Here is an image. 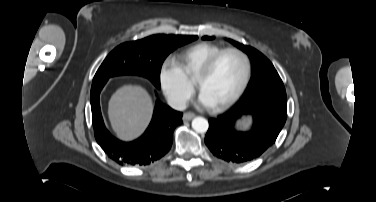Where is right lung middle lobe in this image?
<instances>
[{"mask_svg":"<svg viewBox=\"0 0 376 202\" xmlns=\"http://www.w3.org/2000/svg\"><path fill=\"white\" fill-rule=\"evenodd\" d=\"M197 36L152 35L116 47L96 72L93 84L112 76L132 74L148 78L160 88V71L165 58L176 48Z\"/></svg>","mask_w":376,"mask_h":202,"instance_id":"obj_1","label":"right lung middle lobe"}]
</instances>
